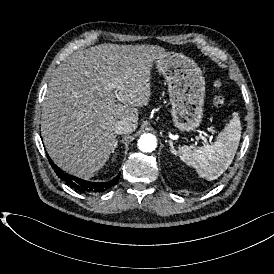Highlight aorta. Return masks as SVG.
<instances>
[{"label":"aorta","instance_id":"762f6f07","mask_svg":"<svg viewBox=\"0 0 274 274\" xmlns=\"http://www.w3.org/2000/svg\"><path fill=\"white\" fill-rule=\"evenodd\" d=\"M137 145L142 152L150 153L156 149L157 140L154 135L147 133L139 138Z\"/></svg>","mask_w":274,"mask_h":274}]
</instances>
